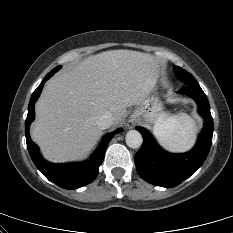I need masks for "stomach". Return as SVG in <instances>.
<instances>
[{
    "label": "stomach",
    "instance_id": "1",
    "mask_svg": "<svg viewBox=\"0 0 233 233\" xmlns=\"http://www.w3.org/2000/svg\"><path fill=\"white\" fill-rule=\"evenodd\" d=\"M163 110L160 99L154 95L148 96L138 104L132 114V118H137L146 125L155 123Z\"/></svg>",
    "mask_w": 233,
    "mask_h": 233
}]
</instances>
